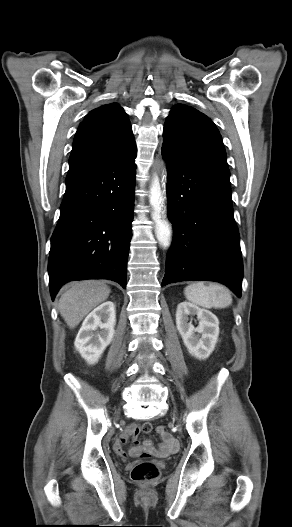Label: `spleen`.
Segmentation results:
<instances>
[{"instance_id":"spleen-1","label":"spleen","mask_w":292,"mask_h":527,"mask_svg":"<svg viewBox=\"0 0 292 527\" xmlns=\"http://www.w3.org/2000/svg\"><path fill=\"white\" fill-rule=\"evenodd\" d=\"M184 295L188 301L205 308H226L232 303L229 290L219 284L196 282L185 287Z\"/></svg>"}]
</instances>
